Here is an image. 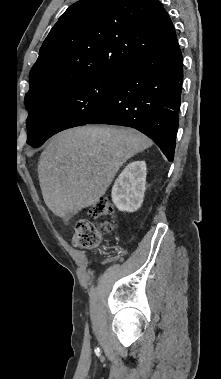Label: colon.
<instances>
[{
  "label": "colon",
  "instance_id": "1",
  "mask_svg": "<svg viewBox=\"0 0 221 379\" xmlns=\"http://www.w3.org/2000/svg\"><path fill=\"white\" fill-rule=\"evenodd\" d=\"M113 212V205L106 199H100L90 209V215L94 218L108 217ZM113 228V222L98 224L86 218L80 219L75 225L72 242L79 248L94 247L100 242L103 231H111Z\"/></svg>",
  "mask_w": 221,
  "mask_h": 379
}]
</instances>
